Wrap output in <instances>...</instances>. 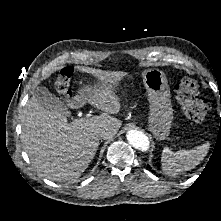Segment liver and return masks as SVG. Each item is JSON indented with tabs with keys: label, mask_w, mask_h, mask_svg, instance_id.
Listing matches in <instances>:
<instances>
[{
	"label": "liver",
	"mask_w": 221,
	"mask_h": 221,
	"mask_svg": "<svg viewBox=\"0 0 221 221\" xmlns=\"http://www.w3.org/2000/svg\"><path fill=\"white\" fill-rule=\"evenodd\" d=\"M80 70L91 73L99 82L82 88L69 107L77 109L88 102L102 111L99 116L68 123L66 115L49 110L34 96L28 100L22 115L23 148L37 171L53 181L79 178L98 150L100 133L107 132L108 137L104 139H109L122 125L111 116L121 108L120 98L113 91L127 73L89 67Z\"/></svg>",
	"instance_id": "6515ba94"
}]
</instances>
